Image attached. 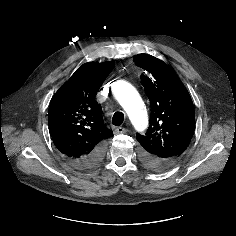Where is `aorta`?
<instances>
[{
	"label": "aorta",
	"mask_w": 236,
	"mask_h": 236,
	"mask_svg": "<svg viewBox=\"0 0 236 236\" xmlns=\"http://www.w3.org/2000/svg\"><path fill=\"white\" fill-rule=\"evenodd\" d=\"M113 94L128 115L138 132H143L148 125V114L145 104L137 90L129 82L118 80L113 85Z\"/></svg>",
	"instance_id": "1"
}]
</instances>
